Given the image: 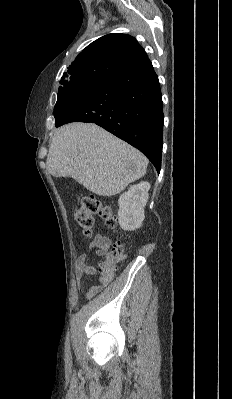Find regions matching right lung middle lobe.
<instances>
[{
  "mask_svg": "<svg viewBox=\"0 0 232 399\" xmlns=\"http://www.w3.org/2000/svg\"><path fill=\"white\" fill-rule=\"evenodd\" d=\"M105 79L101 78H79L66 83L58 92V99L54 107L55 120L57 119L61 108L69 101L79 99L85 93L94 89Z\"/></svg>",
  "mask_w": 232,
  "mask_h": 399,
  "instance_id": "obj_1",
  "label": "right lung middle lobe"
}]
</instances>
